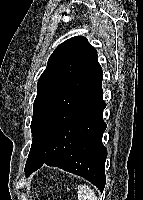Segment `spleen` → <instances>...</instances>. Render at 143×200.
I'll list each match as a JSON object with an SVG mask.
<instances>
[{
	"mask_svg": "<svg viewBox=\"0 0 143 200\" xmlns=\"http://www.w3.org/2000/svg\"><path fill=\"white\" fill-rule=\"evenodd\" d=\"M77 195L78 200H98L94 190L86 184L78 185Z\"/></svg>",
	"mask_w": 143,
	"mask_h": 200,
	"instance_id": "obj_1",
	"label": "spleen"
}]
</instances>
